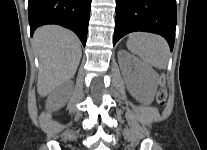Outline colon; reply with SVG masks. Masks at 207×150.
<instances>
[{
	"mask_svg": "<svg viewBox=\"0 0 207 150\" xmlns=\"http://www.w3.org/2000/svg\"><path fill=\"white\" fill-rule=\"evenodd\" d=\"M157 98H158L159 104L163 105L166 100V91L164 89H161L158 93Z\"/></svg>",
	"mask_w": 207,
	"mask_h": 150,
	"instance_id": "5ec220e1",
	"label": "colon"
}]
</instances>
